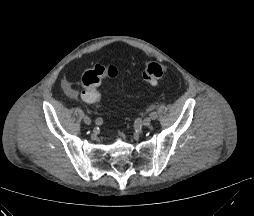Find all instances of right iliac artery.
Masks as SVG:
<instances>
[{
    "instance_id": "obj_1",
    "label": "right iliac artery",
    "mask_w": 254,
    "mask_h": 216,
    "mask_svg": "<svg viewBox=\"0 0 254 216\" xmlns=\"http://www.w3.org/2000/svg\"><path fill=\"white\" fill-rule=\"evenodd\" d=\"M102 123H103L102 118H96V119H95V124H96V125H101Z\"/></svg>"
}]
</instances>
